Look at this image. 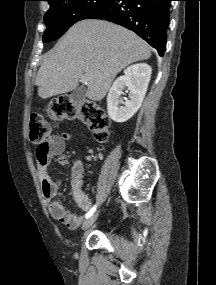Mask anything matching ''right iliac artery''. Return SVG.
Instances as JSON below:
<instances>
[{
	"label": "right iliac artery",
	"mask_w": 216,
	"mask_h": 285,
	"mask_svg": "<svg viewBox=\"0 0 216 285\" xmlns=\"http://www.w3.org/2000/svg\"><path fill=\"white\" fill-rule=\"evenodd\" d=\"M95 210H96V205H94L89 211H88V213L86 214V218H89V217H91L92 215H93V213L95 212Z\"/></svg>",
	"instance_id": "82829eb1"
}]
</instances>
